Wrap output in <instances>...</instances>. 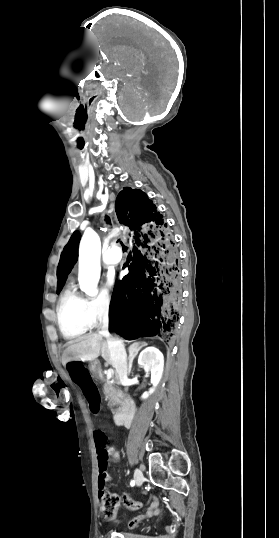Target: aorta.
I'll return each mask as SVG.
<instances>
[{
    "mask_svg": "<svg viewBox=\"0 0 279 538\" xmlns=\"http://www.w3.org/2000/svg\"><path fill=\"white\" fill-rule=\"evenodd\" d=\"M101 241L94 231H86L79 245L78 281L81 291L94 297L97 295V285L100 278Z\"/></svg>",
    "mask_w": 279,
    "mask_h": 538,
    "instance_id": "aorta-1",
    "label": "aorta"
}]
</instances>
